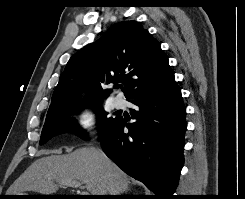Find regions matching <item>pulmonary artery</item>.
Segmentation results:
<instances>
[{"instance_id": "obj_1", "label": "pulmonary artery", "mask_w": 245, "mask_h": 199, "mask_svg": "<svg viewBox=\"0 0 245 199\" xmlns=\"http://www.w3.org/2000/svg\"><path fill=\"white\" fill-rule=\"evenodd\" d=\"M112 104H113L114 108L121 109L124 107L125 102H124L123 98L116 96V97H114Z\"/></svg>"}]
</instances>
